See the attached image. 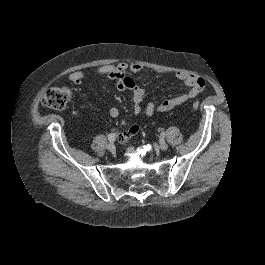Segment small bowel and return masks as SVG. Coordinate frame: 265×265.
Masks as SVG:
<instances>
[{
    "mask_svg": "<svg viewBox=\"0 0 265 265\" xmlns=\"http://www.w3.org/2000/svg\"><path fill=\"white\" fill-rule=\"evenodd\" d=\"M142 68L143 67L137 63L129 65L127 63L121 62L116 65H103L101 67H98L95 72L112 80H115L116 87L119 91H132L134 113L140 114L144 112L146 116H152L157 111H170L182 105L186 101L197 97L203 91L205 86V81L200 76L188 72H178L176 73V77L181 80L189 89L180 95L165 99L160 103L150 101L144 107L143 100L145 97V91L140 88L132 78L127 76L128 71L137 73L140 72ZM86 75V71H75L68 76V80L75 85H80ZM108 113L110 117L117 118L119 116V109L114 106L110 107ZM138 130L139 127L137 125H134L128 130L120 132L118 134V139L120 141H125L131 136L135 135Z\"/></svg>",
    "mask_w": 265,
    "mask_h": 265,
    "instance_id": "1",
    "label": "small bowel"
}]
</instances>
